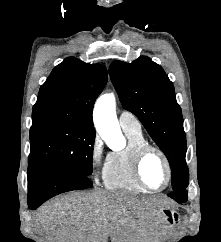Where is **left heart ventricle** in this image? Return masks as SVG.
<instances>
[{
  "instance_id": "1",
  "label": "left heart ventricle",
  "mask_w": 221,
  "mask_h": 242,
  "mask_svg": "<svg viewBox=\"0 0 221 242\" xmlns=\"http://www.w3.org/2000/svg\"><path fill=\"white\" fill-rule=\"evenodd\" d=\"M142 175L147 184L153 188H161L166 183L167 171L162 158L151 152L142 164Z\"/></svg>"
}]
</instances>
